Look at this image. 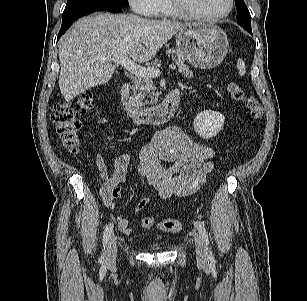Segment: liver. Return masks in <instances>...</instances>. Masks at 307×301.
Wrapping results in <instances>:
<instances>
[{
  "label": "liver",
  "mask_w": 307,
  "mask_h": 301,
  "mask_svg": "<svg viewBox=\"0 0 307 301\" xmlns=\"http://www.w3.org/2000/svg\"><path fill=\"white\" fill-rule=\"evenodd\" d=\"M189 23L145 19L134 14H92L79 19L59 42V87L66 101L107 83L115 67L106 58L129 55L144 63Z\"/></svg>",
  "instance_id": "1"
}]
</instances>
